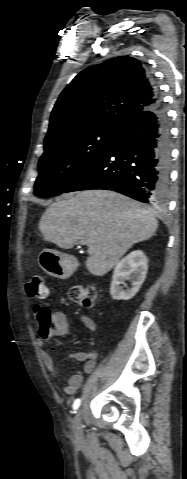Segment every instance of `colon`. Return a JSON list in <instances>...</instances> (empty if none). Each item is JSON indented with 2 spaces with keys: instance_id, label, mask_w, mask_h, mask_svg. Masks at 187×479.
Returning <instances> with one entry per match:
<instances>
[{
  "instance_id": "obj_1",
  "label": "colon",
  "mask_w": 187,
  "mask_h": 479,
  "mask_svg": "<svg viewBox=\"0 0 187 479\" xmlns=\"http://www.w3.org/2000/svg\"><path fill=\"white\" fill-rule=\"evenodd\" d=\"M26 290L28 295L34 299H45L48 291L42 275H34L27 282ZM70 302L84 308H92L95 305L97 292L92 286L75 285L67 292ZM34 316L38 323V332L42 338L49 339L55 336L57 325L52 317L51 311L46 307L37 306L34 309Z\"/></svg>"
}]
</instances>
